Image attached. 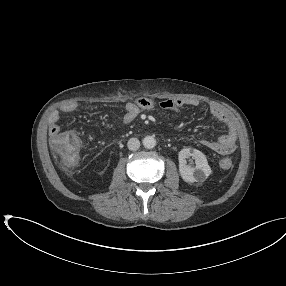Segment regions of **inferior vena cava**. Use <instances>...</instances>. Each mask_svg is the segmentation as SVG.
Instances as JSON below:
<instances>
[{"instance_id": "obj_1", "label": "inferior vena cava", "mask_w": 286, "mask_h": 286, "mask_svg": "<svg viewBox=\"0 0 286 286\" xmlns=\"http://www.w3.org/2000/svg\"><path fill=\"white\" fill-rule=\"evenodd\" d=\"M127 147L131 151H136L140 147V141L137 138H130Z\"/></svg>"}]
</instances>
